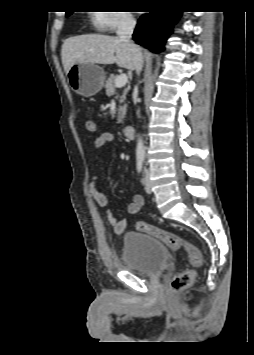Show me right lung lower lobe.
<instances>
[{"mask_svg":"<svg viewBox=\"0 0 254 355\" xmlns=\"http://www.w3.org/2000/svg\"><path fill=\"white\" fill-rule=\"evenodd\" d=\"M182 12L162 9L142 15L133 34V39L148 49L159 52L164 49V43L172 32L173 24Z\"/></svg>","mask_w":254,"mask_h":355,"instance_id":"1","label":"right lung lower lobe"}]
</instances>
